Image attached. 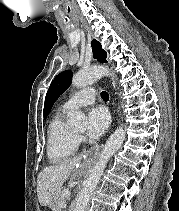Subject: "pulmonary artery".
I'll list each match as a JSON object with an SVG mask.
<instances>
[{
  "instance_id": "pulmonary-artery-1",
  "label": "pulmonary artery",
  "mask_w": 179,
  "mask_h": 211,
  "mask_svg": "<svg viewBox=\"0 0 179 211\" xmlns=\"http://www.w3.org/2000/svg\"><path fill=\"white\" fill-rule=\"evenodd\" d=\"M96 98V91L93 88H85L68 99L61 108L65 111H72L77 108L92 104Z\"/></svg>"
}]
</instances>
